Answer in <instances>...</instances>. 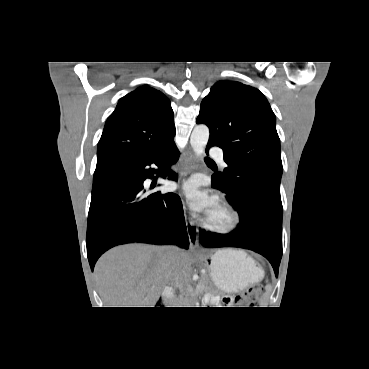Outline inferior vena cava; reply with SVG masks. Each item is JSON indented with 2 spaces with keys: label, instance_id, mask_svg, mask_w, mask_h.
Here are the masks:
<instances>
[{
  "label": "inferior vena cava",
  "instance_id": "obj_1",
  "mask_svg": "<svg viewBox=\"0 0 369 369\" xmlns=\"http://www.w3.org/2000/svg\"><path fill=\"white\" fill-rule=\"evenodd\" d=\"M177 250L176 247H167V258L169 261L173 259L172 254Z\"/></svg>",
  "mask_w": 369,
  "mask_h": 369
}]
</instances>
